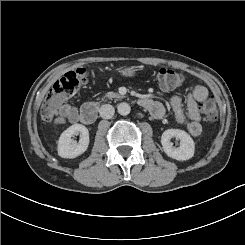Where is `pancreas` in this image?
<instances>
[{"instance_id":"cf45deb5","label":"pancreas","mask_w":245,"mask_h":245,"mask_svg":"<svg viewBox=\"0 0 245 245\" xmlns=\"http://www.w3.org/2000/svg\"><path fill=\"white\" fill-rule=\"evenodd\" d=\"M105 98L112 99V98H123L122 95L119 93H114V92H108L102 99L104 100Z\"/></svg>"}]
</instances>
